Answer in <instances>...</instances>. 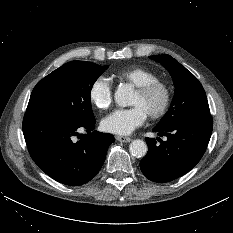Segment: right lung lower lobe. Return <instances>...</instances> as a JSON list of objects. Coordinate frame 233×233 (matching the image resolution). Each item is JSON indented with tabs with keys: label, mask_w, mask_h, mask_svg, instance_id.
I'll return each instance as SVG.
<instances>
[{
	"label": "right lung lower lobe",
	"mask_w": 233,
	"mask_h": 233,
	"mask_svg": "<svg viewBox=\"0 0 233 233\" xmlns=\"http://www.w3.org/2000/svg\"><path fill=\"white\" fill-rule=\"evenodd\" d=\"M94 125L95 120L86 123L50 110L27 109L22 128L34 162L54 180L76 186L99 172L114 142L113 135L93 131ZM81 130L87 134L76 141Z\"/></svg>",
	"instance_id": "98d812e1"
}]
</instances>
